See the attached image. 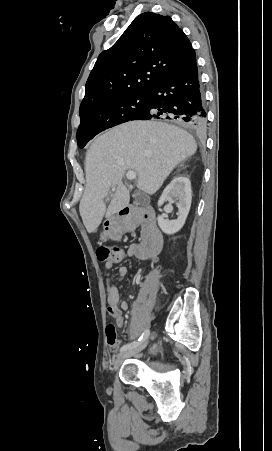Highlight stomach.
I'll use <instances>...</instances> for the list:
<instances>
[{"label":"stomach","mask_w":272,"mask_h":451,"mask_svg":"<svg viewBox=\"0 0 272 451\" xmlns=\"http://www.w3.org/2000/svg\"><path fill=\"white\" fill-rule=\"evenodd\" d=\"M100 239H103V241H106V239H107L106 231H102V233H100Z\"/></svg>","instance_id":"0dacf381"}]
</instances>
